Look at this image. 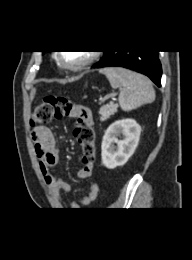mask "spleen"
Segmentation results:
<instances>
[{"label":"spleen","instance_id":"spleen-1","mask_svg":"<svg viewBox=\"0 0 192 260\" xmlns=\"http://www.w3.org/2000/svg\"><path fill=\"white\" fill-rule=\"evenodd\" d=\"M112 88H121L119 104L123 111H131L155 100L151 81L139 73L124 68L108 67L100 70Z\"/></svg>","mask_w":192,"mask_h":260}]
</instances>
